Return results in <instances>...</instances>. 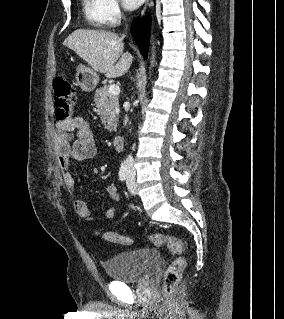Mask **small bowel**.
Masks as SVG:
<instances>
[{"label":"small bowel","instance_id":"small-bowel-1","mask_svg":"<svg viewBox=\"0 0 284 319\" xmlns=\"http://www.w3.org/2000/svg\"><path fill=\"white\" fill-rule=\"evenodd\" d=\"M54 147L58 158V165L62 171V179L65 186L74 191L75 181L70 172L72 161H85L95 157L97 153L93 134L86 120L82 117H74L66 122H57L54 133ZM107 192L112 200H119L116 185L110 184ZM76 214L83 220L93 221L90 208L83 199L73 202ZM118 208L116 205L109 207L105 216L107 219L115 218Z\"/></svg>","mask_w":284,"mask_h":319}]
</instances>
